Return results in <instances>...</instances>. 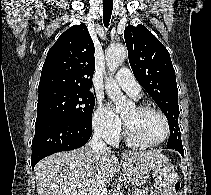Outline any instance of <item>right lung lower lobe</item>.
<instances>
[{
  "label": "right lung lower lobe",
  "mask_w": 211,
  "mask_h": 195,
  "mask_svg": "<svg viewBox=\"0 0 211 195\" xmlns=\"http://www.w3.org/2000/svg\"><path fill=\"white\" fill-rule=\"evenodd\" d=\"M91 134L92 124L83 122L49 120L36 125L32 141V168L46 156L82 147Z\"/></svg>",
  "instance_id": "right-lung-lower-lobe-1"
}]
</instances>
